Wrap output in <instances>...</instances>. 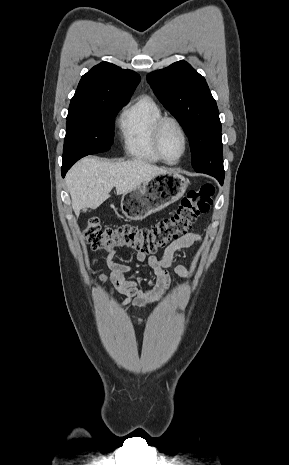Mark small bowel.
Wrapping results in <instances>:
<instances>
[{
	"mask_svg": "<svg viewBox=\"0 0 289 465\" xmlns=\"http://www.w3.org/2000/svg\"><path fill=\"white\" fill-rule=\"evenodd\" d=\"M200 241L201 237L198 234L188 233L171 242L159 257L155 255L147 256L138 252L136 261L146 263L148 271L153 272L156 277L155 285L150 289L141 290L138 287L139 278L126 277V273L132 269V266L114 262V252H110L106 257V264L111 270L110 274L101 273L99 278L103 282L110 283V294L117 291L126 296V299L121 304L122 307L152 304L160 300L171 288L172 274L181 278L190 277V272L185 266H172L174 254L181 249L198 244Z\"/></svg>",
	"mask_w": 289,
	"mask_h": 465,
	"instance_id": "small-bowel-1",
	"label": "small bowel"
}]
</instances>
